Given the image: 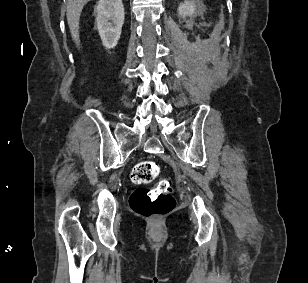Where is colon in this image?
I'll use <instances>...</instances> for the list:
<instances>
[{
	"label": "colon",
	"mask_w": 308,
	"mask_h": 283,
	"mask_svg": "<svg viewBox=\"0 0 308 283\" xmlns=\"http://www.w3.org/2000/svg\"><path fill=\"white\" fill-rule=\"evenodd\" d=\"M85 70L82 80L85 78ZM160 173V167L153 161L138 163L131 172V180L138 185H146L153 182ZM172 183L164 179L152 188L136 189L130 198L131 209L145 217H158L169 213L175 206L172 195Z\"/></svg>",
	"instance_id": "obj_1"
}]
</instances>
